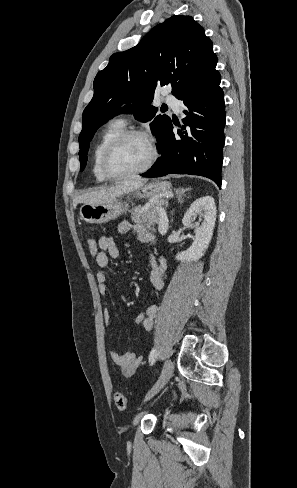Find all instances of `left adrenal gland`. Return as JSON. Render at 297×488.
I'll return each instance as SVG.
<instances>
[{
    "instance_id": "left-adrenal-gland-1",
    "label": "left adrenal gland",
    "mask_w": 297,
    "mask_h": 488,
    "mask_svg": "<svg viewBox=\"0 0 297 488\" xmlns=\"http://www.w3.org/2000/svg\"><path fill=\"white\" fill-rule=\"evenodd\" d=\"M188 190H189V189H185V190H184V189H181V190H180V189H176V190H175V193H176V198H177V202H178V203H181V202H182V195H183V194H184L186 191H188Z\"/></svg>"
}]
</instances>
